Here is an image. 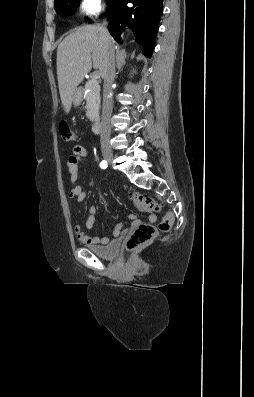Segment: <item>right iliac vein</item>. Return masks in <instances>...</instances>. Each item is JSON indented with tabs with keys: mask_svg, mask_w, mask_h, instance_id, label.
<instances>
[{
	"mask_svg": "<svg viewBox=\"0 0 254 397\" xmlns=\"http://www.w3.org/2000/svg\"><path fill=\"white\" fill-rule=\"evenodd\" d=\"M103 157L108 163H111L113 160V154L111 152H104Z\"/></svg>",
	"mask_w": 254,
	"mask_h": 397,
	"instance_id": "63e3f726",
	"label": "right iliac vein"
}]
</instances>
